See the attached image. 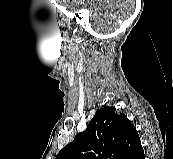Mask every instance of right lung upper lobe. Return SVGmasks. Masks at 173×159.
<instances>
[{"label":"right lung upper lobe","mask_w":173,"mask_h":159,"mask_svg":"<svg viewBox=\"0 0 173 159\" xmlns=\"http://www.w3.org/2000/svg\"><path fill=\"white\" fill-rule=\"evenodd\" d=\"M142 149L138 132L125 114L104 107L56 159H130Z\"/></svg>","instance_id":"right-lung-upper-lobe-1"}]
</instances>
